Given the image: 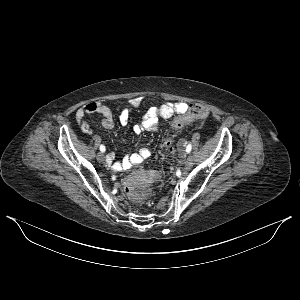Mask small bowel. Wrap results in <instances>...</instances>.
Instances as JSON below:
<instances>
[{
    "label": "small bowel",
    "instance_id": "obj_1",
    "mask_svg": "<svg viewBox=\"0 0 300 300\" xmlns=\"http://www.w3.org/2000/svg\"><path fill=\"white\" fill-rule=\"evenodd\" d=\"M143 102L141 97H134L129 101V106L121 108L118 120L123 126L130 120L131 109L139 107ZM188 105L185 102L164 103L158 107L148 109L142 120L133 126V131L140 134L144 131L155 132L159 129L160 119H169L176 114H181L187 110ZM97 113L102 116V124L105 128H113L115 125L112 110L100 102H89L80 107L75 114L76 121L82 131L87 135L92 134L89 123L85 120L87 114ZM99 139V138H97ZM148 148H140L136 153H129L121 160L115 161L114 154L108 155L106 165L114 172H120L129 169L133 165L141 164L150 157Z\"/></svg>",
    "mask_w": 300,
    "mask_h": 300
}]
</instances>
